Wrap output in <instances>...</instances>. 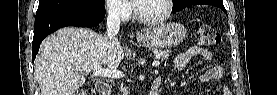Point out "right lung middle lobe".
<instances>
[{"label":"right lung middle lobe","instance_id":"1","mask_svg":"<svg viewBox=\"0 0 277 95\" xmlns=\"http://www.w3.org/2000/svg\"><path fill=\"white\" fill-rule=\"evenodd\" d=\"M104 0H40L37 13L53 10H95L104 7Z\"/></svg>","mask_w":277,"mask_h":95}]
</instances>
